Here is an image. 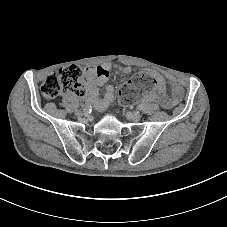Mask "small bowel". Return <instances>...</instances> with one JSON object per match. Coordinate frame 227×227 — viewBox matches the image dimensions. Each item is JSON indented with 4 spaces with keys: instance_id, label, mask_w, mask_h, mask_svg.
I'll list each match as a JSON object with an SVG mask.
<instances>
[{
    "instance_id": "obj_1",
    "label": "small bowel",
    "mask_w": 227,
    "mask_h": 227,
    "mask_svg": "<svg viewBox=\"0 0 227 227\" xmlns=\"http://www.w3.org/2000/svg\"><path fill=\"white\" fill-rule=\"evenodd\" d=\"M117 68L122 73L128 74L132 72L130 66H118ZM111 69L112 65L110 63H103L98 66L86 67L84 69L85 89L81 95L85 96L87 102L98 111L104 110L115 98V89L112 85L105 86L102 97L100 96L98 89L99 86H102L107 82ZM150 75L154 77L157 82L159 90L158 99L161 106L165 109H170L178 104L183 95V89L178 82L172 76H168L171 88V94L168 95L166 93L164 78L156 72H150ZM155 97L156 94L154 92H150L145 96L146 100H152Z\"/></svg>"
}]
</instances>
